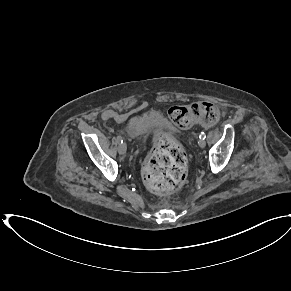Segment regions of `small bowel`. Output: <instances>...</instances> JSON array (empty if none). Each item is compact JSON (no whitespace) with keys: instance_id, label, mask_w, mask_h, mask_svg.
I'll return each mask as SVG.
<instances>
[{"instance_id":"1","label":"small bowel","mask_w":291,"mask_h":291,"mask_svg":"<svg viewBox=\"0 0 291 291\" xmlns=\"http://www.w3.org/2000/svg\"><path fill=\"white\" fill-rule=\"evenodd\" d=\"M103 120H114L121 122L125 120V116L113 110H105L101 115Z\"/></svg>"}]
</instances>
